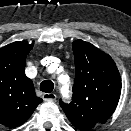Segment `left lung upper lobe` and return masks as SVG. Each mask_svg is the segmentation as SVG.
<instances>
[{
  "label": "left lung upper lobe",
  "mask_w": 131,
  "mask_h": 131,
  "mask_svg": "<svg viewBox=\"0 0 131 131\" xmlns=\"http://www.w3.org/2000/svg\"><path fill=\"white\" fill-rule=\"evenodd\" d=\"M75 83L69 104L60 105L73 126L81 131L104 123L114 112L121 94V78L115 62L94 45L73 42Z\"/></svg>",
  "instance_id": "obj_1"
}]
</instances>
